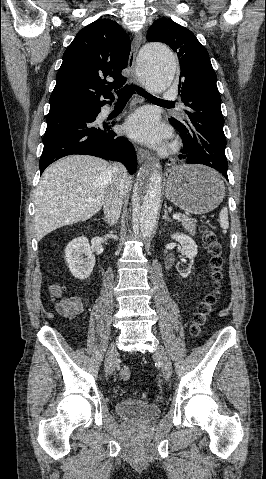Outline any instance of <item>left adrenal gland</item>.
<instances>
[{
  "label": "left adrenal gland",
  "mask_w": 266,
  "mask_h": 479,
  "mask_svg": "<svg viewBox=\"0 0 266 479\" xmlns=\"http://www.w3.org/2000/svg\"><path fill=\"white\" fill-rule=\"evenodd\" d=\"M162 218H163L164 220H167L168 222H172V220H171V219L169 218V216H168V212H167L166 209L164 210V215H163Z\"/></svg>",
  "instance_id": "1"
}]
</instances>
